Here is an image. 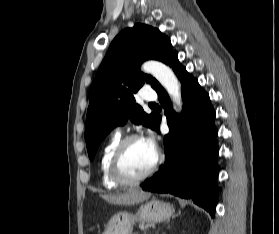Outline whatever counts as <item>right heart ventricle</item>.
I'll return each instance as SVG.
<instances>
[{
	"label": "right heart ventricle",
	"mask_w": 279,
	"mask_h": 234,
	"mask_svg": "<svg viewBox=\"0 0 279 234\" xmlns=\"http://www.w3.org/2000/svg\"><path fill=\"white\" fill-rule=\"evenodd\" d=\"M120 141L119 134H116L104 147L100 158V170L103 185L107 188H117L118 184L113 181L110 175V160L113 151Z\"/></svg>",
	"instance_id": "right-heart-ventricle-1"
}]
</instances>
